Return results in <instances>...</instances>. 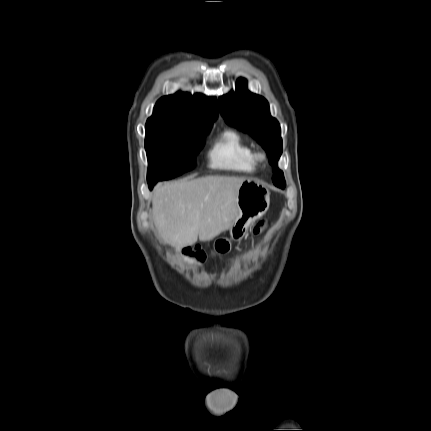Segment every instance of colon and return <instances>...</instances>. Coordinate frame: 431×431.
<instances>
[{
  "label": "colon",
  "mask_w": 431,
  "mask_h": 431,
  "mask_svg": "<svg viewBox=\"0 0 431 431\" xmlns=\"http://www.w3.org/2000/svg\"><path fill=\"white\" fill-rule=\"evenodd\" d=\"M262 226H263V222H259V223L255 226V228H254V232H255V233H258V232L261 230ZM199 256L201 257V255H200V254H199Z\"/></svg>",
  "instance_id": "5ec220e1"
}]
</instances>
